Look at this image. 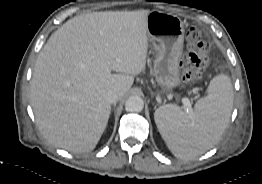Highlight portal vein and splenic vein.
Segmentation results:
<instances>
[{
    "mask_svg": "<svg viewBox=\"0 0 262 184\" xmlns=\"http://www.w3.org/2000/svg\"><path fill=\"white\" fill-rule=\"evenodd\" d=\"M182 103L185 109H189L191 107V103L188 98H182Z\"/></svg>",
    "mask_w": 262,
    "mask_h": 184,
    "instance_id": "18ae733b",
    "label": "portal vein and splenic vein"
}]
</instances>
